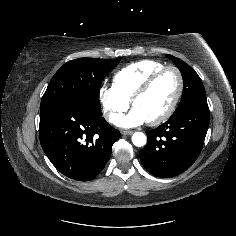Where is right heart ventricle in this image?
Returning a JSON list of instances; mask_svg holds the SVG:
<instances>
[{
	"label": "right heart ventricle",
	"instance_id": "1",
	"mask_svg": "<svg viewBox=\"0 0 236 236\" xmlns=\"http://www.w3.org/2000/svg\"><path fill=\"white\" fill-rule=\"evenodd\" d=\"M163 67L165 64L156 60H142L132 63L115 73L113 86L123 96L131 100L144 82Z\"/></svg>",
	"mask_w": 236,
	"mask_h": 236
}]
</instances>
